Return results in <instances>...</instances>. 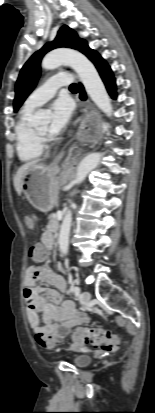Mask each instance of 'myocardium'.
<instances>
[{"label":"myocardium","mask_w":155,"mask_h":413,"mask_svg":"<svg viewBox=\"0 0 155 413\" xmlns=\"http://www.w3.org/2000/svg\"><path fill=\"white\" fill-rule=\"evenodd\" d=\"M34 131H35V134L38 136V138H39L40 140H44V139H45V137H46L45 133L39 132L36 128H34Z\"/></svg>","instance_id":"myocardium-1"}]
</instances>
